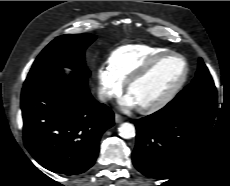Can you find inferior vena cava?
<instances>
[{
    "label": "inferior vena cava",
    "instance_id": "1",
    "mask_svg": "<svg viewBox=\"0 0 230 186\" xmlns=\"http://www.w3.org/2000/svg\"><path fill=\"white\" fill-rule=\"evenodd\" d=\"M98 97H99L100 101L106 102L107 100L112 98V94H110L106 90H103V91H99Z\"/></svg>",
    "mask_w": 230,
    "mask_h": 186
}]
</instances>
